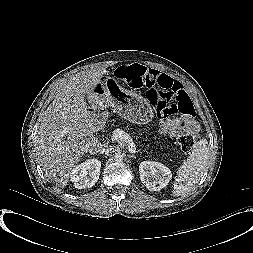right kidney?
I'll use <instances>...</instances> for the list:
<instances>
[{
  "label": "right kidney",
  "instance_id": "1",
  "mask_svg": "<svg viewBox=\"0 0 253 253\" xmlns=\"http://www.w3.org/2000/svg\"><path fill=\"white\" fill-rule=\"evenodd\" d=\"M101 162L97 159H89L72 169L70 180L78 189L90 188L99 179Z\"/></svg>",
  "mask_w": 253,
  "mask_h": 253
}]
</instances>
